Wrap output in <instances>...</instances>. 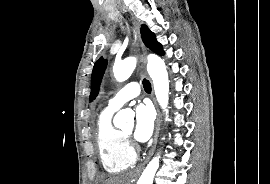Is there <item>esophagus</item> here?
<instances>
[{
  "mask_svg": "<svg viewBox=\"0 0 270 184\" xmlns=\"http://www.w3.org/2000/svg\"><path fill=\"white\" fill-rule=\"evenodd\" d=\"M132 20V23L135 27V30H136V33L138 34V37L140 39V30H139V26H138V23L131 19ZM142 48H143V51L144 53H146L145 51V48L144 46L142 45ZM153 101H154V104H155V108H156V111H157V118H156V123H155V131H154V138H153V145H152V148L144 162V164L137 170L138 172L141 171L143 169V167L145 166V164L150 160V158L152 157L154 151H155V148H156V144H157V139H158V135H159V130H160V111H159V108H158V105H157V102L155 100V98H153Z\"/></svg>",
  "mask_w": 270,
  "mask_h": 184,
  "instance_id": "esophagus-1",
  "label": "esophagus"
}]
</instances>
